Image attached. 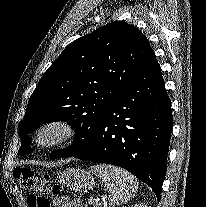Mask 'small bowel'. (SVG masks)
Returning a JSON list of instances; mask_svg holds the SVG:
<instances>
[{
    "label": "small bowel",
    "mask_w": 206,
    "mask_h": 207,
    "mask_svg": "<svg viewBox=\"0 0 206 207\" xmlns=\"http://www.w3.org/2000/svg\"><path fill=\"white\" fill-rule=\"evenodd\" d=\"M54 207H81L80 203L77 201H68L63 198H55L53 200Z\"/></svg>",
    "instance_id": "1"
}]
</instances>
